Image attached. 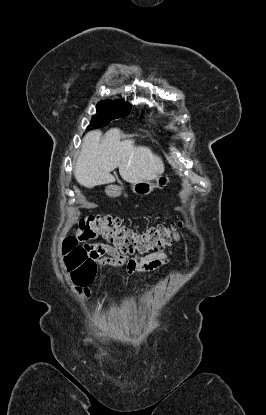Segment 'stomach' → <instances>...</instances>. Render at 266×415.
<instances>
[{
    "mask_svg": "<svg viewBox=\"0 0 266 415\" xmlns=\"http://www.w3.org/2000/svg\"><path fill=\"white\" fill-rule=\"evenodd\" d=\"M170 182V178L166 174H161L156 177L153 181H142L137 182L132 185V190L136 195L146 196L149 195L155 188L163 189ZM121 190L119 186L110 185L107 186L105 192L109 197L116 198L121 195Z\"/></svg>",
    "mask_w": 266,
    "mask_h": 415,
    "instance_id": "1",
    "label": "stomach"
}]
</instances>
